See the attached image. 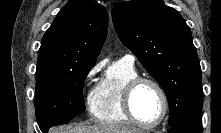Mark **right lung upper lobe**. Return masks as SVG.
<instances>
[{"label":"right lung upper lobe","instance_id":"1","mask_svg":"<svg viewBox=\"0 0 221 133\" xmlns=\"http://www.w3.org/2000/svg\"><path fill=\"white\" fill-rule=\"evenodd\" d=\"M107 29L103 6L92 0H70L43 36L36 71L96 62Z\"/></svg>","mask_w":221,"mask_h":133}]
</instances>
